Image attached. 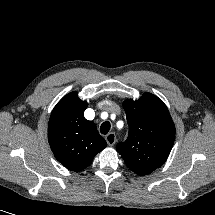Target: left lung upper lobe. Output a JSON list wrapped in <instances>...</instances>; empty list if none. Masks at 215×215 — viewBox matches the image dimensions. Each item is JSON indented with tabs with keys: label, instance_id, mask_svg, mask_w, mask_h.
I'll use <instances>...</instances> for the list:
<instances>
[{
	"label": "left lung upper lobe",
	"instance_id": "left-lung-upper-lobe-1",
	"mask_svg": "<svg viewBox=\"0 0 215 215\" xmlns=\"http://www.w3.org/2000/svg\"><path fill=\"white\" fill-rule=\"evenodd\" d=\"M123 107L129 133L116 149L133 172L150 174L165 163L174 143L175 126L170 113L151 93H144L136 101L127 99Z\"/></svg>",
	"mask_w": 215,
	"mask_h": 215
}]
</instances>
